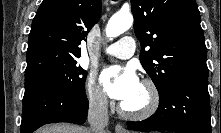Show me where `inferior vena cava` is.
I'll return each instance as SVG.
<instances>
[{
	"label": "inferior vena cava",
	"instance_id": "602c4592",
	"mask_svg": "<svg viewBox=\"0 0 221 133\" xmlns=\"http://www.w3.org/2000/svg\"><path fill=\"white\" fill-rule=\"evenodd\" d=\"M108 100L103 94L91 98L88 110L89 133H108Z\"/></svg>",
	"mask_w": 221,
	"mask_h": 133
}]
</instances>
